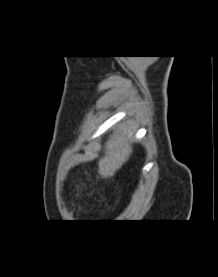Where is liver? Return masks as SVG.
Masks as SVG:
<instances>
[{
    "label": "liver",
    "mask_w": 218,
    "mask_h": 277,
    "mask_svg": "<svg viewBox=\"0 0 218 277\" xmlns=\"http://www.w3.org/2000/svg\"><path fill=\"white\" fill-rule=\"evenodd\" d=\"M132 132L113 134L105 144V155L98 162V173L102 178H111L129 159L132 153Z\"/></svg>",
    "instance_id": "obj_1"
}]
</instances>
